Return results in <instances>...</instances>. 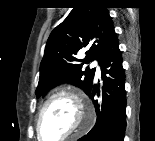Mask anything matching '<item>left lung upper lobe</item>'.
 <instances>
[{
    "label": "left lung upper lobe",
    "mask_w": 155,
    "mask_h": 141,
    "mask_svg": "<svg viewBox=\"0 0 155 141\" xmlns=\"http://www.w3.org/2000/svg\"><path fill=\"white\" fill-rule=\"evenodd\" d=\"M116 35L104 0H76L67 18L50 34L40 65L37 97L45 95L52 87L69 82L80 87L86 94L93 84L95 69L82 71L83 64L75 55L86 49L82 61L98 62L112 37ZM114 99V98H113ZM112 99L114 111L119 100Z\"/></svg>",
    "instance_id": "obj_1"
}]
</instances>
